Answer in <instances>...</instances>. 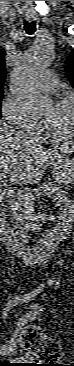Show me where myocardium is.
<instances>
[{"instance_id":"myocardium-1","label":"myocardium","mask_w":74,"mask_h":366,"mask_svg":"<svg viewBox=\"0 0 74 366\" xmlns=\"http://www.w3.org/2000/svg\"><path fill=\"white\" fill-rule=\"evenodd\" d=\"M57 107L67 106L71 110V118H72V126H73V136L61 138L58 134L52 132L51 130L47 129L46 134L51 140L55 143H61L64 145H71L74 146V100L70 96H65L62 99L58 100Z\"/></svg>"}]
</instances>
